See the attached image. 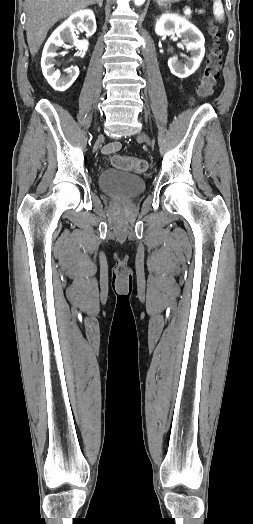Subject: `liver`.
<instances>
[{
	"instance_id": "1",
	"label": "liver",
	"mask_w": 253,
	"mask_h": 524,
	"mask_svg": "<svg viewBox=\"0 0 253 524\" xmlns=\"http://www.w3.org/2000/svg\"><path fill=\"white\" fill-rule=\"evenodd\" d=\"M96 0H26V34L34 56L49 29L60 19L94 4Z\"/></svg>"
}]
</instances>
